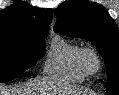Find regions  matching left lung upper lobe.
Returning a JSON list of instances; mask_svg holds the SVG:
<instances>
[{
	"label": "left lung upper lobe",
	"mask_w": 119,
	"mask_h": 95,
	"mask_svg": "<svg viewBox=\"0 0 119 95\" xmlns=\"http://www.w3.org/2000/svg\"><path fill=\"white\" fill-rule=\"evenodd\" d=\"M54 31L95 44L106 64L107 94L119 95V31L102 5L88 0L61 4Z\"/></svg>",
	"instance_id": "left-lung-upper-lobe-1"
}]
</instances>
